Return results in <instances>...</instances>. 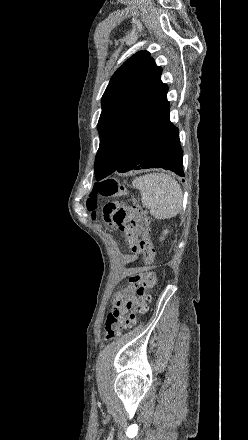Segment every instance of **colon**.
Returning a JSON list of instances; mask_svg holds the SVG:
<instances>
[{"mask_svg": "<svg viewBox=\"0 0 248 440\" xmlns=\"http://www.w3.org/2000/svg\"><path fill=\"white\" fill-rule=\"evenodd\" d=\"M120 194H129L128 189L116 179H107L96 184L87 200V208L95 211L98 199L111 200ZM104 219L113 224L119 231L126 233L133 223H138L144 228V234L138 242V249L143 255V272L129 279L130 287L136 291L138 303L135 305L128 300L127 305L131 312L122 318L118 310L110 312L106 318L104 335L107 340L119 337L124 330L137 324L138 316L144 314L151 301L149 291L156 283L154 271L155 248L149 235V216L137 198H133L132 206L118 207L115 202L108 201L103 207Z\"/></svg>", "mask_w": 248, "mask_h": 440, "instance_id": "1", "label": "colon"}]
</instances>
